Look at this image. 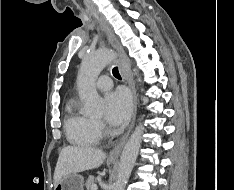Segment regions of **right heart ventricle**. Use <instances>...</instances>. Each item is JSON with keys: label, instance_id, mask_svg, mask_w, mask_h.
Instances as JSON below:
<instances>
[{"label": "right heart ventricle", "instance_id": "e07e8e85", "mask_svg": "<svg viewBox=\"0 0 234 190\" xmlns=\"http://www.w3.org/2000/svg\"><path fill=\"white\" fill-rule=\"evenodd\" d=\"M64 128L68 141L76 146H94L100 140L95 120L82 113L74 99L68 101L65 107Z\"/></svg>", "mask_w": 234, "mask_h": 190}]
</instances>
